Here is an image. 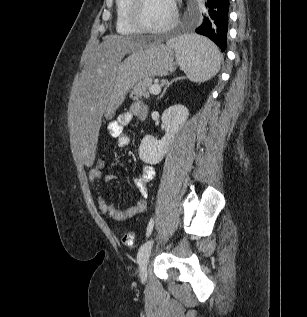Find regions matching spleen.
Returning <instances> with one entry per match:
<instances>
[{
	"mask_svg": "<svg viewBox=\"0 0 307 317\" xmlns=\"http://www.w3.org/2000/svg\"><path fill=\"white\" fill-rule=\"evenodd\" d=\"M176 53L177 63L193 82L211 79L219 70L221 54L206 37L191 34L167 42Z\"/></svg>",
	"mask_w": 307,
	"mask_h": 317,
	"instance_id": "obj_1",
	"label": "spleen"
}]
</instances>
